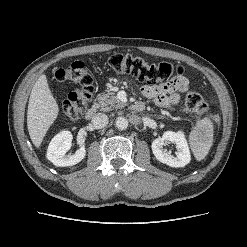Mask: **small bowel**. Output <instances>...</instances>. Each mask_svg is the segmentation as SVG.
Instances as JSON below:
<instances>
[{"label": "small bowel", "mask_w": 247, "mask_h": 247, "mask_svg": "<svg viewBox=\"0 0 247 247\" xmlns=\"http://www.w3.org/2000/svg\"><path fill=\"white\" fill-rule=\"evenodd\" d=\"M188 85V79L178 75L159 85L146 84L142 86L141 91L146 98L153 100L158 108H167L178 104L181 94L187 90Z\"/></svg>", "instance_id": "obj_1"}]
</instances>
